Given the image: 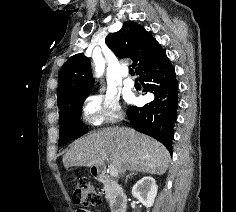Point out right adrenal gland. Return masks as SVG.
Masks as SVG:
<instances>
[{
  "instance_id": "1",
  "label": "right adrenal gland",
  "mask_w": 236,
  "mask_h": 212,
  "mask_svg": "<svg viewBox=\"0 0 236 212\" xmlns=\"http://www.w3.org/2000/svg\"><path fill=\"white\" fill-rule=\"evenodd\" d=\"M138 173H140L139 171H133L132 173H130L127 177H126V183L128 181V179L132 178L134 175H137Z\"/></svg>"
}]
</instances>
